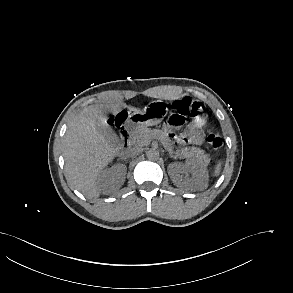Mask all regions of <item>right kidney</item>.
Returning <instances> with one entry per match:
<instances>
[{"label":"right kidney","instance_id":"right-kidney-1","mask_svg":"<svg viewBox=\"0 0 293 293\" xmlns=\"http://www.w3.org/2000/svg\"><path fill=\"white\" fill-rule=\"evenodd\" d=\"M125 175L126 167L116 164L109 169L103 170L98 177V182L100 184L118 182V186H121L124 182Z\"/></svg>","mask_w":293,"mask_h":293}]
</instances>
